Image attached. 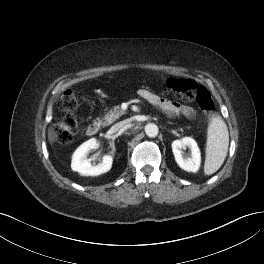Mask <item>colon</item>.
<instances>
[{"label":"colon","mask_w":264,"mask_h":264,"mask_svg":"<svg viewBox=\"0 0 264 264\" xmlns=\"http://www.w3.org/2000/svg\"><path fill=\"white\" fill-rule=\"evenodd\" d=\"M167 85L182 101H195L204 112L212 113L214 102L204 86L188 79H170ZM62 104L67 115L55 127V135L60 142L69 143L78 132L79 126L77 119L72 115L76 109V97L72 91L63 93Z\"/></svg>","instance_id":"1"}]
</instances>
